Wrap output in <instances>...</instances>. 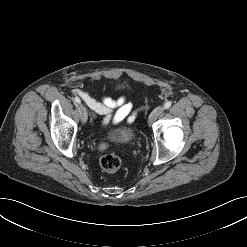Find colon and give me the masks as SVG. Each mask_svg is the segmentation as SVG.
I'll use <instances>...</instances> for the list:
<instances>
[{
	"label": "colon",
	"instance_id": "1",
	"mask_svg": "<svg viewBox=\"0 0 247 247\" xmlns=\"http://www.w3.org/2000/svg\"><path fill=\"white\" fill-rule=\"evenodd\" d=\"M100 166L104 171H106L108 173H114L121 166L120 157L118 155H116V154L104 155L100 159Z\"/></svg>",
	"mask_w": 247,
	"mask_h": 247
}]
</instances>
